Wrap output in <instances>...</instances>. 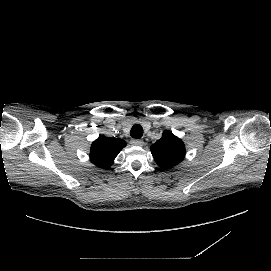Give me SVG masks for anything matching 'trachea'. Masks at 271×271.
I'll return each mask as SVG.
<instances>
[{
  "label": "trachea",
  "mask_w": 271,
  "mask_h": 271,
  "mask_svg": "<svg viewBox=\"0 0 271 271\" xmlns=\"http://www.w3.org/2000/svg\"><path fill=\"white\" fill-rule=\"evenodd\" d=\"M130 135L133 138H141L143 136V128H142V126L138 125V124L134 125L131 128Z\"/></svg>",
  "instance_id": "1"
}]
</instances>
